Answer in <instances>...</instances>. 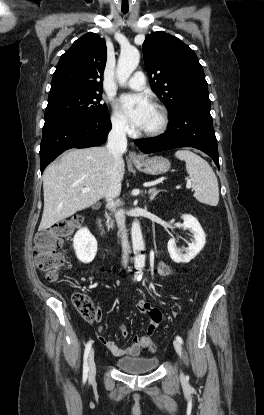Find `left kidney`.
Listing matches in <instances>:
<instances>
[{"label": "left kidney", "mask_w": 264, "mask_h": 415, "mask_svg": "<svg viewBox=\"0 0 264 415\" xmlns=\"http://www.w3.org/2000/svg\"><path fill=\"white\" fill-rule=\"evenodd\" d=\"M183 228L189 229L193 233V240L188 243V247L185 248V253L176 246V240L170 239L167 244L168 252L171 259L176 263H188L203 249L206 243V235L202 229L198 220L189 214H184Z\"/></svg>", "instance_id": "5707ae66"}]
</instances>
